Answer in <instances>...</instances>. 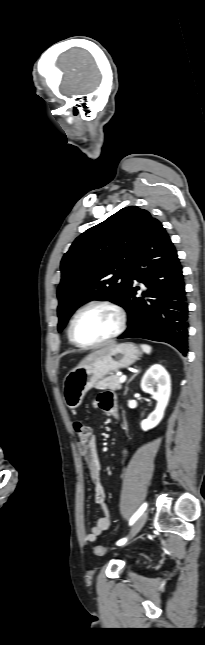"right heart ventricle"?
I'll return each mask as SVG.
<instances>
[{
  "label": "right heart ventricle",
  "mask_w": 205,
  "mask_h": 645,
  "mask_svg": "<svg viewBox=\"0 0 205 645\" xmlns=\"http://www.w3.org/2000/svg\"><path fill=\"white\" fill-rule=\"evenodd\" d=\"M68 338H69V341H70V342H72V341H71V339H70V337H69V333H68Z\"/></svg>",
  "instance_id": "obj_1"
}]
</instances>
